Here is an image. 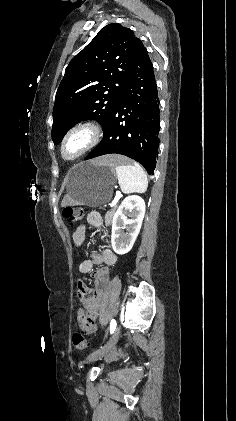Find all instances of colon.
Masks as SVG:
<instances>
[{
  "label": "colon",
  "mask_w": 236,
  "mask_h": 421,
  "mask_svg": "<svg viewBox=\"0 0 236 421\" xmlns=\"http://www.w3.org/2000/svg\"><path fill=\"white\" fill-rule=\"evenodd\" d=\"M83 215H84V211H83V208L81 207H65L63 210V216L72 223L81 221V219L83 218ZM81 290L83 289L81 288ZM79 322L83 324L85 323L84 319H82ZM72 341L75 348L78 350H85L89 346V344L87 343L83 335L79 332L74 333Z\"/></svg>",
  "instance_id": "1"
}]
</instances>
